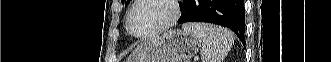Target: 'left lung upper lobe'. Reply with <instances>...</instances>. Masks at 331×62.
<instances>
[{
	"label": "left lung upper lobe",
	"mask_w": 331,
	"mask_h": 62,
	"mask_svg": "<svg viewBox=\"0 0 331 62\" xmlns=\"http://www.w3.org/2000/svg\"><path fill=\"white\" fill-rule=\"evenodd\" d=\"M125 0H121V2L123 3ZM130 0H127V2H129ZM187 0H183L184 5L186 4ZM182 8V5H181Z\"/></svg>",
	"instance_id": "1"
}]
</instances>
